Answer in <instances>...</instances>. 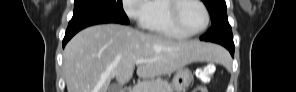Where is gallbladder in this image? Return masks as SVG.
<instances>
[{"instance_id": "obj_1", "label": "gallbladder", "mask_w": 296, "mask_h": 92, "mask_svg": "<svg viewBox=\"0 0 296 92\" xmlns=\"http://www.w3.org/2000/svg\"><path fill=\"white\" fill-rule=\"evenodd\" d=\"M122 87L121 85L118 84H112L108 88V92H121Z\"/></svg>"}]
</instances>
